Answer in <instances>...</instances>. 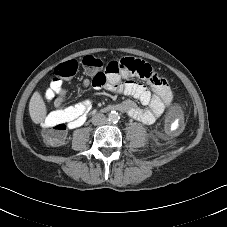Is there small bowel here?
I'll list each match as a JSON object with an SVG mask.
<instances>
[{
	"label": "small bowel",
	"instance_id": "1",
	"mask_svg": "<svg viewBox=\"0 0 227 227\" xmlns=\"http://www.w3.org/2000/svg\"><path fill=\"white\" fill-rule=\"evenodd\" d=\"M106 81L103 83L105 87L111 91H118L124 95L136 99L144 108H141L131 99L123 101L119 105V109L127 113L132 118L139 120L145 124L155 122L160 115L166 111L173 101V94L168 81L158 76L153 70L148 77H141L145 80L150 88L133 80H127L120 83V76L112 78L107 72H104ZM133 73L123 72V78H129ZM94 84L96 89H100L102 85H96L94 81L86 78L82 81L84 87H89ZM66 91L61 87H51L46 91L44 99L46 103L53 104L55 110L51 111L44 120L45 126H51L58 121H61V114H68V117L63 119L69 129L79 126L84 119V114L93 106L92 99H86L73 106H65ZM107 106L106 109H110Z\"/></svg>",
	"mask_w": 227,
	"mask_h": 227
}]
</instances>
